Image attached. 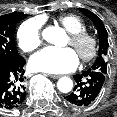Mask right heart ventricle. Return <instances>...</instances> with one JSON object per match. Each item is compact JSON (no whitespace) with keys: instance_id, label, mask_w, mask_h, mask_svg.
Segmentation results:
<instances>
[{"instance_id":"e07e8e85","label":"right heart ventricle","mask_w":117,"mask_h":117,"mask_svg":"<svg viewBox=\"0 0 117 117\" xmlns=\"http://www.w3.org/2000/svg\"><path fill=\"white\" fill-rule=\"evenodd\" d=\"M58 22L69 32L77 33L86 30L85 22L77 15L66 14L58 17Z\"/></svg>"}]
</instances>
